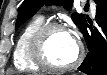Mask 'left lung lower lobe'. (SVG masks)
Wrapping results in <instances>:
<instances>
[{
	"mask_svg": "<svg viewBox=\"0 0 107 75\" xmlns=\"http://www.w3.org/2000/svg\"><path fill=\"white\" fill-rule=\"evenodd\" d=\"M97 3L96 21L102 26L103 37L92 24H84L81 29L89 49L78 70L88 75H107V0H95Z\"/></svg>",
	"mask_w": 107,
	"mask_h": 75,
	"instance_id": "obj_1",
	"label": "left lung lower lobe"
}]
</instances>
